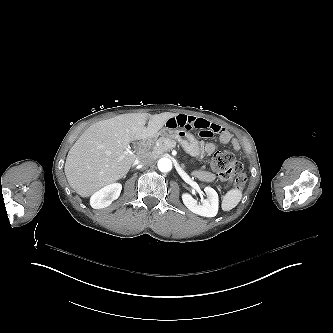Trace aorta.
Listing matches in <instances>:
<instances>
[{"label": "aorta", "instance_id": "aorta-1", "mask_svg": "<svg viewBox=\"0 0 333 333\" xmlns=\"http://www.w3.org/2000/svg\"><path fill=\"white\" fill-rule=\"evenodd\" d=\"M158 169L161 172H168L172 169V162L169 158H161L158 161Z\"/></svg>", "mask_w": 333, "mask_h": 333}]
</instances>
